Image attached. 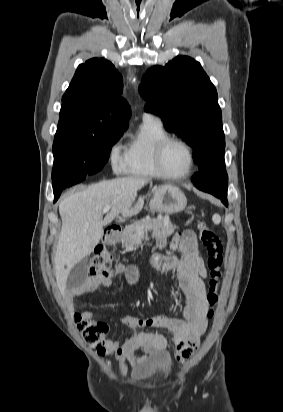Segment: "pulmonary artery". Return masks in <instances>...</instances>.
<instances>
[{
	"label": "pulmonary artery",
	"instance_id": "e3ab8cb5",
	"mask_svg": "<svg viewBox=\"0 0 283 412\" xmlns=\"http://www.w3.org/2000/svg\"><path fill=\"white\" fill-rule=\"evenodd\" d=\"M144 120H151V121H155V122H158V123H162L161 119L159 117H157L155 115H152V114H148V113L143 114V121Z\"/></svg>",
	"mask_w": 283,
	"mask_h": 412
}]
</instances>
